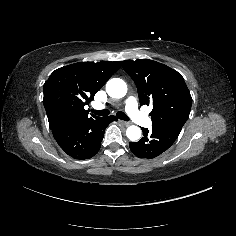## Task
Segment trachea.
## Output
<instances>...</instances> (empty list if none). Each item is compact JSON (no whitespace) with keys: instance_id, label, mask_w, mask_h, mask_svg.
<instances>
[{"instance_id":"obj_1","label":"trachea","mask_w":236,"mask_h":236,"mask_svg":"<svg viewBox=\"0 0 236 236\" xmlns=\"http://www.w3.org/2000/svg\"><path fill=\"white\" fill-rule=\"evenodd\" d=\"M92 113L98 116L105 117L110 111L109 110H92ZM117 117L123 121H130V118L122 111L117 112Z\"/></svg>"}]
</instances>
